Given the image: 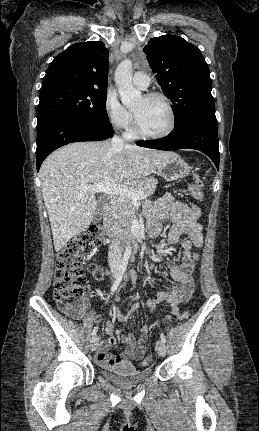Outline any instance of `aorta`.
Wrapping results in <instances>:
<instances>
[{"mask_svg": "<svg viewBox=\"0 0 259 431\" xmlns=\"http://www.w3.org/2000/svg\"><path fill=\"white\" fill-rule=\"evenodd\" d=\"M132 61L129 59L123 60L115 71V83L121 97L122 104L132 109L141 102L142 94L138 89H135L132 84ZM125 254H131V247L127 244Z\"/></svg>", "mask_w": 259, "mask_h": 431, "instance_id": "1", "label": "aorta"}]
</instances>
